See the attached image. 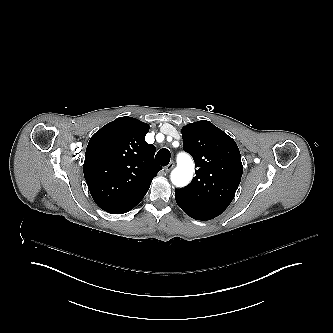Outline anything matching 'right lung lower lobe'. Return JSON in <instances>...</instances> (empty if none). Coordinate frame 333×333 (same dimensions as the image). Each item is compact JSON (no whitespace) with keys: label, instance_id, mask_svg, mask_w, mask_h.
<instances>
[{"label":"right lung lower lobe","instance_id":"1","mask_svg":"<svg viewBox=\"0 0 333 333\" xmlns=\"http://www.w3.org/2000/svg\"><path fill=\"white\" fill-rule=\"evenodd\" d=\"M150 185L136 186L126 183L122 191L116 193L109 202L97 204L104 211L112 214H123L134 208L144 197Z\"/></svg>","mask_w":333,"mask_h":333}]
</instances>
